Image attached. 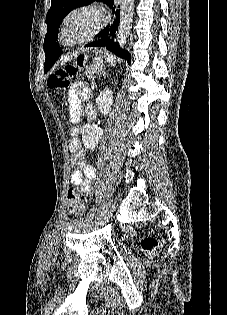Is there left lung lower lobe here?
Instances as JSON below:
<instances>
[{"instance_id": "left-lung-lower-lobe-1", "label": "left lung lower lobe", "mask_w": 227, "mask_h": 315, "mask_svg": "<svg viewBox=\"0 0 227 315\" xmlns=\"http://www.w3.org/2000/svg\"><path fill=\"white\" fill-rule=\"evenodd\" d=\"M108 5L111 9H113V13H115L116 18L111 26H107L103 30H101L98 34V40L85 45L86 47H106L109 51L113 52L115 55L124 58L130 64L131 56L128 51L120 48L119 44L113 41L114 33L119 26L120 22V12L119 10H114V0H109ZM46 54V60L44 64V70L47 72L56 60L60 57L62 50L59 49L56 42L50 43L46 48H44Z\"/></svg>"}]
</instances>
